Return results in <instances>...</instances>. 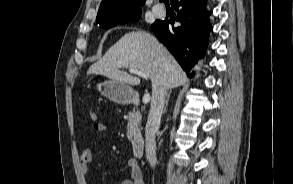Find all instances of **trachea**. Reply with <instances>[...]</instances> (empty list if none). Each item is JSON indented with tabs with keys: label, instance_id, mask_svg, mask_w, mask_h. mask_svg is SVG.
Returning a JSON list of instances; mask_svg holds the SVG:
<instances>
[{
	"label": "trachea",
	"instance_id": "obj_1",
	"mask_svg": "<svg viewBox=\"0 0 293 184\" xmlns=\"http://www.w3.org/2000/svg\"><path fill=\"white\" fill-rule=\"evenodd\" d=\"M160 2H164L165 4H169V0H160Z\"/></svg>",
	"mask_w": 293,
	"mask_h": 184
}]
</instances>
